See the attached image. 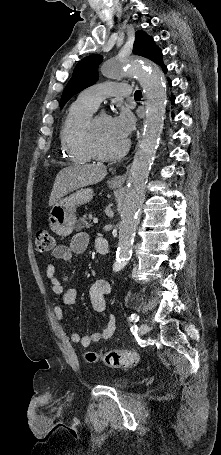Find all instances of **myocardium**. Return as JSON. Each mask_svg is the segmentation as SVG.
I'll list each match as a JSON object with an SVG mask.
<instances>
[{
    "label": "myocardium",
    "instance_id": "myocardium-1",
    "mask_svg": "<svg viewBox=\"0 0 221 455\" xmlns=\"http://www.w3.org/2000/svg\"><path fill=\"white\" fill-rule=\"evenodd\" d=\"M96 118L90 119L85 132V143L91 157L100 161H111L122 157L129 150V140H125L124 144L118 150L111 153H103L98 149L96 145Z\"/></svg>",
    "mask_w": 221,
    "mask_h": 455
}]
</instances>
